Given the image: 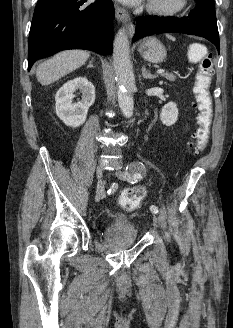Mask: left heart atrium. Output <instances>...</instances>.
Returning a JSON list of instances; mask_svg holds the SVG:
<instances>
[{"label": "left heart atrium", "mask_w": 233, "mask_h": 328, "mask_svg": "<svg viewBox=\"0 0 233 328\" xmlns=\"http://www.w3.org/2000/svg\"><path fill=\"white\" fill-rule=\"evenodd\" d=\"M118 1L133 6L139 4L142 0H118Z\"/></svg>", "instance_id": "1"}]
</instances>
